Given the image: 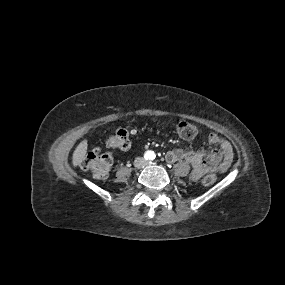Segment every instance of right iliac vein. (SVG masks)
Wrapping results in <instances>:
<instances>
[{
  "mask_svg": "<svg viewBox=\"0 0 285 285\" xmlns=\"http://www.w3.org/2000/svg\"><path fill=\"white\" fill-rule=\"evenodd\" d=\"M135 166L140 168L142 166V161L141 160H137L135 163Z\"/></svg>",
  "mask_w": 285,
  "mask_h": 285,
  "instance_id": "obj_1",
  "label": "right iliac vein"
}]
</instances>
